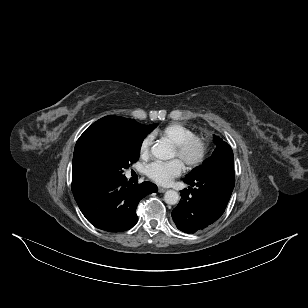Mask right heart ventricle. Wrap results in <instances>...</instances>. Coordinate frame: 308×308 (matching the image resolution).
I'll return each instance as SVG.
<instances>
[{
    "label": "right heart ventricle",
    "mask_w": 308,
    "mask_h": 308,
    "mask_svg": "<svg viewBox=\"0 0 308 308\" xmlns=\"http://www.w3.org/2000/svg\"><path fill=\"white\" fill-rule=\"evenodd\" d=\"M155 134L176 146L194 135V130L184 124L172 122L157 130Z\"/></svg>",
    "instance_id": "right-heart-ventricle-1"
}]
</instances>
